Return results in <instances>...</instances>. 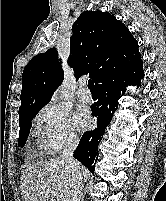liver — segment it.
<instances>
[{"instance_id": "1", "label": "liver", "mask_w": 166, "mask_h": 201, "mask_svg": "<svg viewBox=\"0 0 166 201\" xmlns=\"http://www.w3.org/2000/svg\"><path fill=\"white\" fill-rule=\"evenodd\" d=\"M72 185L71 170L60 158L30 165L21 176L22 200L68 201Z\"/></svg>"}]
</instances>
